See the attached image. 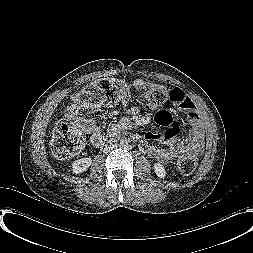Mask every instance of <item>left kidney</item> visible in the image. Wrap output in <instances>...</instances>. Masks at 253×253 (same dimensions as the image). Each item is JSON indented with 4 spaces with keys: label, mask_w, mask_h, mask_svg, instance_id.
<instances>
[{
    "label": "left kidney",
    "mask_w": 253,
    "mask_h": 253,
    "mask_svg": "<svg viewBox=\"0 0 253 253\" xmlns=\"http://www.w3.org/2000/svg\"><path fill=\"white\" fill-rule=\"evenodd\" d=\"M153 168L158 177L164 178L166 176L165 168L160 163H155Z\"/></svg>",
    "instance_id": "left-kidney-1"
}]
</instances>
